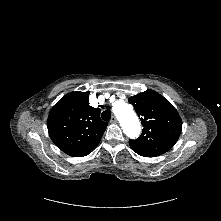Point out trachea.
<instances>
[{
    "label": "trachea",
    "mask_w": 221,
    "mask_h": 221,
    "mask_svg": "<svg viewBox=\"0 0 221 221\" xmlns=\"http://www.w3.org/2000/svg\"><path fill=\"white\" fill-rule=\"evenodd\" d=\"M101 117L104 121H109L111 119V111L110 110L103 111Z\"/></svg>",
    "instance_id": "trachea-1"
}]
</instances>
